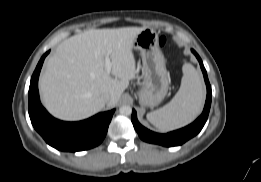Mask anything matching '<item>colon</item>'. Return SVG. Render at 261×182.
<instances>
[{"label": "colon", "mask_w": 261, "mask_h": 182, "mask_svg": "<svg viewBox=\"0 0 261 182\" xmlns=\"http://www.w3.org/2000/svg\"><path fill=\"white\" fill-rule=\"evenodd\" d=\"M159 44L162 48H168L170 46V41L166 37L162 36L159 39Z\"/></svg>", "instance_id": "obj_1"}]
</instances>
